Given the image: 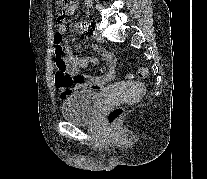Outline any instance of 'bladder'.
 <instances>
[{"label":"bladder","instance_id":"1","mask_svg":"<svg viewBox=\"0 0 207 179\" xmlns=\"http://www.w3.org/2000/svg\"><path fill=\"white\" fill-rule=\"evenodd\" d=\"M100 110L99 94L91 90H78L69 94L61 107V116L74 124H90Z\"/></svg>","mask_w":207,"mask_h":179}]
</instances>
